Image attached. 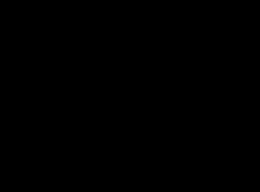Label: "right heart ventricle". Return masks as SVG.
<instances>
[{"instance_id": "obj_1", "label": "right heart ventricle", "mask_w": 260, "mask_h": 192, "mask_svg": "<svg viewBox=\"0 0 260 192\" xmlns=\"http://www.w3.org/2000/svg\"><path fill=\"white\" fill-rule=\"evenodd\" d=\"M140 65V68H149V67H147V66H149V65H143V64H145V63H139ZM144 70H147V69H144Z\"/></svg>"}]
</instances>
